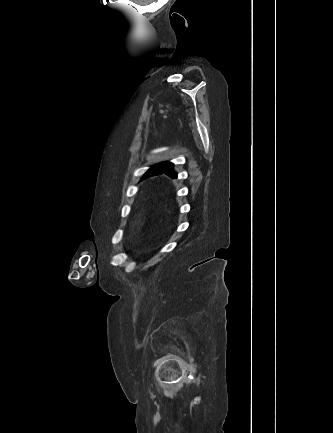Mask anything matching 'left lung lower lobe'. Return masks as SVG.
<instances>
[{
	"instance_id": "left-lung-lower-lobe-1",
	"label": "left lung lower lobe",
	"mask_w": 333,
	"mask_h": 433,
	"mask_svg": "<svg viewBox=\"0 0 333 433\" xmlns=\"http://www.w3.org/2000/svg\"><path fill=\"white\" fill-rule=\"evenodd\" d=\"M145 177H148V173H147V174H145Z\"/></svg>"
}]
</instances>
